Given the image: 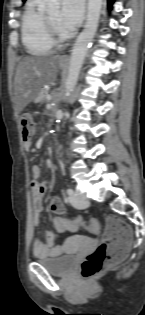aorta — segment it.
Segmentation results:
<instances>
[{"label":"aorta","instance_id":"762f6f07","mask_svg":"<svg viewBox=\"0 0 145 315\" xmlns=\"http://www.w3.org/2000/svg\"><path fill=\"white\" fill-rule=\"evenodd\" d=\"M103 0H88L87 17L83 31L79 34L70 56L68 77L65 83V96L69 97L77 84L89 45L97 31ZM59 0H46L49 12L59 10Z\"/></svg>","mask_w":145,"mask_h":315}]
</instances>
